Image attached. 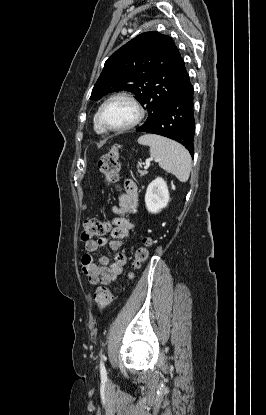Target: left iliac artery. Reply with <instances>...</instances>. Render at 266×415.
<instances>
[{"label": "left iliac artery", "mask_w": 266, "mask_h": 415, "mask_svg": "<svg viewBox=\"0 0 266 415\" xmlns=\"http://www.w3.org/2000/svg\"><path fill=\"white\" fill-rule=\"evenodd\" d=\"M104 359H105V357H104V355H102L101 356V361H100V372H101L102 375H106V369H105L104 362H103Z\"/></svg>", "instance_id": "1"}]
</instances>
